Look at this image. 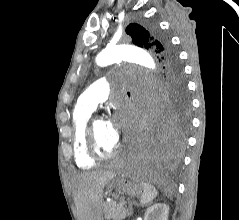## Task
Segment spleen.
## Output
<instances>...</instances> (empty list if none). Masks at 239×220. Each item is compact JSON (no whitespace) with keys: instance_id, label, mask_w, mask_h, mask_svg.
Instances as JSON below:
<instances>
[{"instance_id":"1","label":"spleen","mask_w":239,"mask_h":220,"mask_svg":"<svg viewBox=\"0 0 239 220\" xmlns=\"http://www.w3.org/2000/svg\"><path fill=\"white\" fill-rule=\"evenodd\" d=\"M140 186L143 191L141 195V205L150 203L158 194L156 188L146 182H141Z\"/></svg>"}]
</instances>
